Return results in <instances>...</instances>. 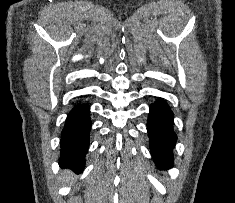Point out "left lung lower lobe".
I'll list each match as a JSON object with an SVG mask.
<instances>
[{
  "mask_svg": "<svg viewBox=\"0 0 235 203\" xmlns=\"http://www.w3.org/2000/svg\"><path fill=\"white\" fill-rule=\"evenodd\" d=\"M147 130L155 164L160 169L171 168L177 136L173 130V112L164 100L159 99L150 106Z\"/></svg>",
  "mask_w": 235,
  "mask_h": 203,
  "instance_id": "left-lung-lower-lobe-1",
  "label": "left lung lower lobe"
}]
</instances>
